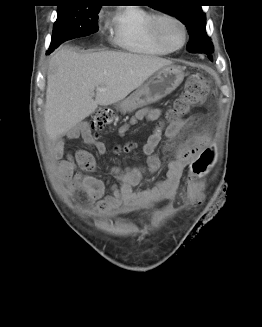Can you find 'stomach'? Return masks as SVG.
<instances>
[{"instance_id":"obj_1","label":"stomach","mask_w":262,"mask_h":327,"mask_svg":"<svg viewBox=\"0 0 262 327\" xmlns=\"http://www.w3.org/2000/svg\"><path fill=\"white\" fill-rule=\"evenodd\" d=\"M182 69L175 65L158 70L146 83L136 89L118 105L122 113H130L137 108L150 105L174 91L183 81Z\"/></svg>"}]
</instances>
